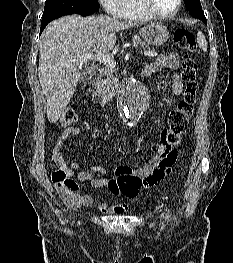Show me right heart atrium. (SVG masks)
<instances>
[{"label":"right heart atrium","mask_w":233,"mask_h":263,"mask_svg":"<svg viewBox=\"0 0 233 263\" xmlns=\"http://www.w3.org/2000/svg\"><path fill=\"white\" fill-rule=\"evenodd\" d=\"M121 0H99L103 8L110 14H115Z\"/></svg>","instance_id":"d8ad5b80"}]
</instances>
